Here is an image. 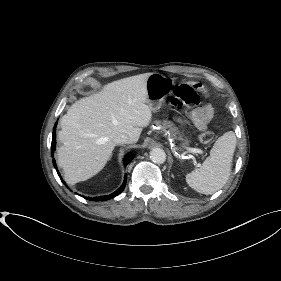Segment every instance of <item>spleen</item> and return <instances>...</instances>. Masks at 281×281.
I'll return each mask as SVG.
<instances>
[{
	"label": "spleen",
	"mask_w": 281,
	"mask_h": 281,
	"mask_svg": "<svg viewBox=\"0 0 281 281\" xmlns=\"http://www.w3.org/2000/svg\"><path fill=\"white\" fill-rule=\"evenodd\" d=\"M236 144L237 140L233 131L219 137L202 166L186 175L187 184L205 195L213 194L221 189L229 179Z\"/></svg>",
	"instance_id": "3e777b00"
}]
</instances>
